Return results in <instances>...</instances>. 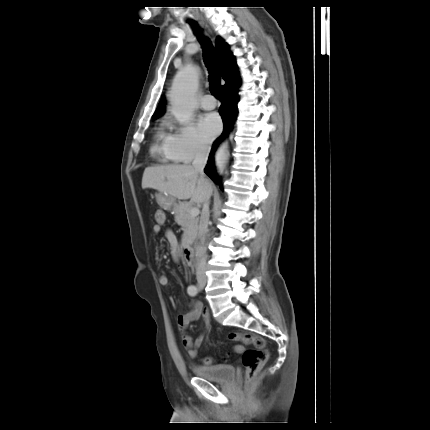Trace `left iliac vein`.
<instances>
[{
  "instance_id": "1",
  "label": "left iliac vein",
  "mask_w": 430,
  "mask_h": 430,
  "mask_svg": "<svg viewBox=\"0 0 430 430\" xmlns=\"http://www.w3.org/2000/svg\"><path fill=\"white\" fill-rule=\"evenodd\" d=\"M204 286H205V283L199 284V286H198L199 290H202L204 288Z\"/></svg>"
}]
</instances>
